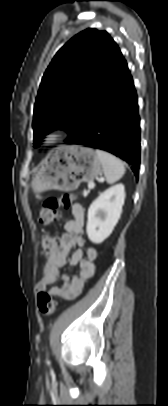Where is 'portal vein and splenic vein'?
Returning <instances> with one entry per match:
<instances>
[{
	"instance_id": "obj_1",
	"label": "portal vein and splenic vein",
	"mask_w": 168,
	"mask_h": 406,
	"mask_svg": "<svg viewBox=\"0 0 168 406\" xmlns=\"http://www.w3.org/2000/svg\"><path fill=\"white\" fill-rule=\"evenodd\" d=\"M95 187V183L94 182H90L89 184H88V188L89 189H93Z\"/></svg>"
}]
</instances>
